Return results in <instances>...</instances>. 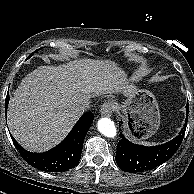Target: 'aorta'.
Segmentation results:
<instances>
[{
    "label": "aorta",
    "mask_w": 194,
    "mask_h": 194,
    "mask_svg": "<svg viewBox=\"0 0 194 194\" xmlns=\"http://www.w3.org/2000/svg\"><path fill=\"white\" fill-rule=\"evenodd\" d=\"M97 127L100 133H102L106 137L113 138L116 136V127L114 125V122L111 121L109 118H101L98 121Z\"/></svg>",
    "instance_id": "1"
}]
</instances>
